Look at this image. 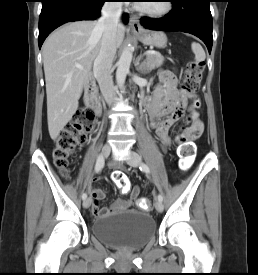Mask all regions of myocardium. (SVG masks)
I'll use <instances>...</instances> for the list:
<instances>
[{
    "instance_id": "obj_1",
    "label": "myocardium",
    "mask_w": 258,
    "mask_h": 275,
    "mask_svg": "<svg viewBox=\"0 0 258 275\" xmlns=\"http://www.w3.org/2000/svg\"><path fill=\"white\" fill-rule=\"evenodd\" d=\"M136 9L143 15L153 17V18H160V17L167 15L168 13H170L172 11L173 4H172L171 0H166V1H164V5H163L162 9L157 10V11L149 10V9H146L139 5L136 7Z\"/></svg>"
}]
</instances>
